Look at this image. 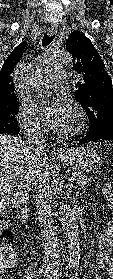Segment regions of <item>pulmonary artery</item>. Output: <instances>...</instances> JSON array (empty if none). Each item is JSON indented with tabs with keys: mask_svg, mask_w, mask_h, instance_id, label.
<instances>
[{
	"mask_svg": "<svg viewBox=\"0 0 113 279\" xmlns=\"http://www.w3.org/2000/svg\"><path fill=\"white\" fill-rule=\"evenodd\" d=\"M66 74L64 73H53L44 78L41 82L43 88L45 89H59L64 86L66 82Z\"/></svg>",
	"mask_w": 113,
	"mask_h": 279,
	"instance_id": "obj_1",
	"label": "pulmonary artery"
}]
</instances>
